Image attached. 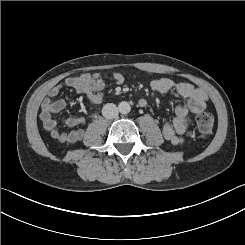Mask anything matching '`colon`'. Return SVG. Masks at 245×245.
<instances>
[{
	"label": "colon",
	"mask_w": 245,
	"mask_h": 245,
	"mask_svg": "<svg viewBox=\"0 0 245 245\" xmlns=\"http://www.w3.org/2000/svg\"><path fill=\"white\" fill-rule=\"evenodd\" d=\"M197 128L202 134L211 133L214 125V116L209 112H203L197 116Z\"/></svg>",
	"instance_id": "5ec220e1"
}]
</instances>
